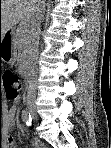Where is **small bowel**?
<instances>
[{
	"label": "small bowel",
	"instance_id": "c3829d8e",
	"mask_svg": "<svg viewBox=\"0 0 111 148\" xmlns=\"http://www.w3.org/2000/svg\"><path fill=\"white\" fill-rule=\"evenodd\" d=\"M17 113H18L17 106L16 105L11 106L8 111V128L9 129L13 128L16 125L15 118H16ZM33 146L39 147L40 145L36 141H33ZM12 147H16V145L13 139L9 137L6 148H12Z\"/></svg>",
	"mask_w": 111,
	"mask_h": 148
}]
</instances>
